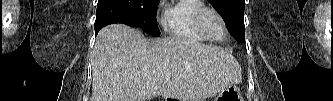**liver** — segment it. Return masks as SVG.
I'll return each mask as SVG.
<instances>
[{
	"instance_id": "liver-1",
	"label": "liver",
	"mask_w": 333,
	"mask_h": 101,
	"mask_svg": "<svg viewBox=\"0 0 333 101\" xmlns=\"http://www.w3.org/2000/svg\"><path fill=\"white\" fill-rule=\"evenodd\" d=\"M92 70L91 101H146L159 95L203 101L242 79L237 60L221 47L185 38L146 39L123 24L99 32Z\"/></svg>"
}]
</instances>
